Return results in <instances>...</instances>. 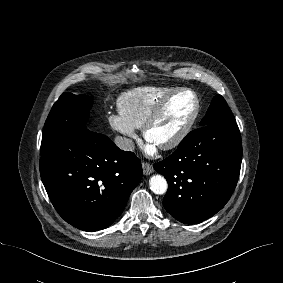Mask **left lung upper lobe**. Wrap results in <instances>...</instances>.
I'll return each instance as SVG.
<instances>
[{"label":"left lung upper lobe","instance_id":"left-lung-upper-lobe-1","mask_svg":"<svg viewBox=\"0 0 283 283\" xmlns=\"http://www.w3.org/2000/svg\"><path fill=\"white\" fill-rule=\"evenodd\" d=\"M236 122L229 109L225 99L221 95H216L205 115L200 122V126H206L215 123Z\"/></svg>","mask_w":283,"mask_h":283}]
</instances>
